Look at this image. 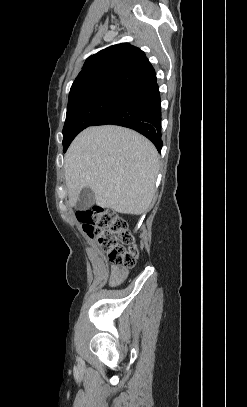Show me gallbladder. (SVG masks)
<instances>
[{
    "label": "gallbladder",
    "mask_w": 247,
    "mask_h": 407,
    "mask_svg": "<svg viewBox=\"0 0 247 407\" xmlns=\"http://www.w3.org/2000/svg\"><path fill=\"white\" fill-rule=\"evenodd\" d=\"M95 202V194L91 188L85 187L79 194V199L76 203V207L79 210L88 209Z\"/></svg>",
    "instance_id": "gallbladder-1"
}]
</instances>
